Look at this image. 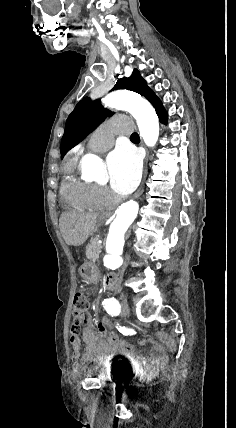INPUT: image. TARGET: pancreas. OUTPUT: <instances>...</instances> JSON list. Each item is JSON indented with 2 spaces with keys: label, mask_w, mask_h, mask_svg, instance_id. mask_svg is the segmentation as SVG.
I'll return each instance as SVG.
<instances>
[{
  "label": "pancreas",
  "mask_w": 236,
  "mask_h": 428,
  "mask_svg": "<svg viewBox=\"0 0 236 428\" xmlns=\"http://www.w3.org/2000/svg\"><path fill=\"white\" fill-rule=\"evenodd\" d=\"M102 246L99 244L98 238H92L90 244L86 248V258L91 260V262H96L99 258Z\"/></svg>",
  "instance_id": "cf45deb5"
}]
</instances>
